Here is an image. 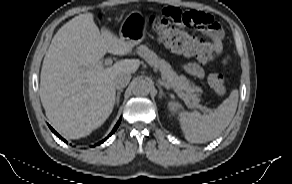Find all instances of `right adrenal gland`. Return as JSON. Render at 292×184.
<instances>
[{"mask_svg": "<svg viewBox=\"0 0 292 184\" xmlns=\"http://www.w3.org/2000/svg\"><path fill=\"white\" fill-rule=\"evenodd\" d=\"M122 92H123V89H119L117 91V96H116V104H117V106L119 105L120 95H121Z\"/></svg>", "mask_w": 292, "mask_h": 184, "instance_id": "obj_1", "label": "right adrenal gland"}]
</instances>
